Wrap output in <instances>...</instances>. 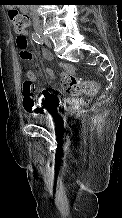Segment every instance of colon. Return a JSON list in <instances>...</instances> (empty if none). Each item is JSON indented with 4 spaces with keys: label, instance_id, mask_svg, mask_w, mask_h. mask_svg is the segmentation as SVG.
Masks as SVG:
<instances>
[{
    "label": "colon",
    "instance_id": "5ec220e1",
    "mask_svg": "<svg viewBox=\"0 0 122 218\" xmlns=\"http://www.w3.org/2000/svg\"><path fill=\"white\" fill-rule=\"evenodd\" d=\"M9 18L15 30L19 33L24 32L29 25V17L16 9H11L9 11ZM17 46L20 50V57L23 60H29L31 53L27 50V41L22 37H17ZM23 76L22 90L25 97L24 108L29 113L36 114V104L33 97V81L29 78L28 71H24ZM63 86L65 90L72 95H79L80 93L93 95L97 91V87L93 82H83L75 77H67L63 79Z\"/></svg>",
    "mask_w": 122,
    "mask_h": 218
}]
</instances>
